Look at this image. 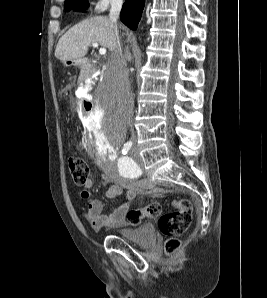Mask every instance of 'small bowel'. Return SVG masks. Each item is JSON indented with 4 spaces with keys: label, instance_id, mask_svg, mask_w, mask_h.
Here are the masks:
<instances>
[{
    "label": "small bowel",
    "instance_id": "small-bowel-1",
    "mask_svg": "<svg viewBox=\"0 0 267 298\" xmlns=\"http://www.w3.org/2000/svg\"><path fill=\"white\" fill-rule=\"evenodd\" d=\"M106 181L111 184L107 191V198L113 199L116 196H121L125 190L126 201L119 205L113 212L109 214L103 213V203L91 197L90 188L93 185L92 180H89L80 193L82 199L86 201V209L84 217L88 221L90 227L94 231H99L102 228H119L125 225V217L130 207V201L136 196L138 186L120 176L108 174Z\"/></svg>",
    "mask_w": 267,
    "mask_h": 298
}]
</instances>
